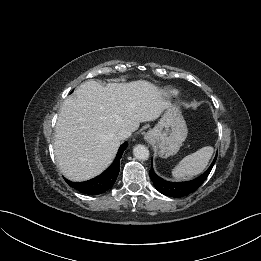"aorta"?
I'll use <instances>...</instances> for the list:
<instances>
[{
    "mask_svg": "<svg viewBox=\"0 0 261 261\" xmlns=\"http://www.w3.org/2000/svg\"><path fill=\"white\" fill-rule=\"evenodd\" d=\"M133 155L138 160H147L149 158V150L144 145H136L133 149Z\"/></svg>",
    "mask_w": 261,
    "mask_h": 261,
    "instance_id": "1",
    "label": "aorta"
}]
</instances>
